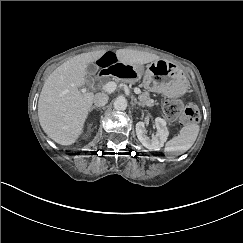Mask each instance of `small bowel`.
<instances>
[{
    "mask_svg": "<svg viewBox=\"0 0 243 243\" xmlns=\"http://www.w3.org/2000/svg\"><path fill=\"white\" fill-rule=\"evenodd\" d=\"M96 63L104 70L116 64L123 63V61L116 52L107 51L98 57Z\"/></svg>",
    "mask_w": 243,
    "mask_h": 243,
    "instance_id": "obj_1",
    "label": "small bowel"
}]
</instances>
